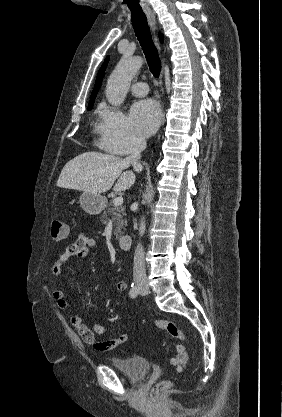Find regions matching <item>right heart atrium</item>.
<instances>
[{"label": "right heart atrium", "instance_id": "1", "mask_svg": "<svg viewBox=\"0 0 282 417\" xmlns=\"http://www.w3.org/2000/svg\"><path fill=\"white\" fill-rule=\"evenodd\" d=\"M100 146L117 155H128L142 146L141 137L132 129L125 114L115 108L107 109L97 127Z\"/></svg>", "mask_w": 282, "mask_h": 417}]
</instances>
